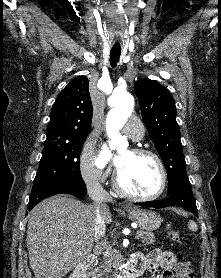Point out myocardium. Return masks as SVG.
Instances as JSON below:
<instances>
[{
	"instance_id": "f54148a6",
	"label": "myocardium",
	"mask_w": 221,
	"mask_h": 278,
	"mask_svg": "<svg viewBox=\"0 0 221 278\" xmlns=\"http://www.w3.org/2000/svg\"><path fill=\"white\" fill-rule=\"evenodd\" d=\"M131 152L138 156L151 157L156 161V163L159 167V170H160V177H161L160 186H159L158 190L153 194L134 193L133 191L129 190L128 188H126L124 186V184L121 181L120 171H119V169H117L115 172V176H114V186H115L116 190L118 192H120L122 195H124L130 199H134V200L151 201V200L158 199L165 192L166 187H167V182H168L167 170H166L163 160L157 153H155L149 149L133 148V149H131Z\"/></svg>"
}]
</instances>
